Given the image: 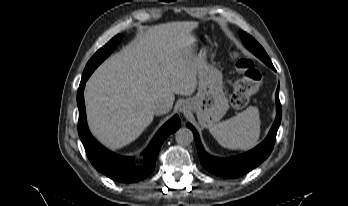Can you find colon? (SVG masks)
I'll return each instance as SVG.
<instances>
[{
    "instance_id": "colon-1",
    "label": "colon",
    "mask_w": 348,
    "mask_h": 206,
    "mask_svg": "<svg viewBox=\"0 0 348 206\" xmlns=\"http://www.w3.org/2000/svg\"><path fill=\"white\" fill-rule=\"evenodd\" d=\"M241 78L235 86L233 103L237 107L245 106L262 84V74L249 58L235 57Z\"/></svg>"
}]
</instances>
